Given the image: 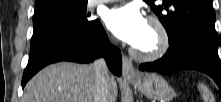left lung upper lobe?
<instances>
[{
	"label": "left lung upper lobe",
	"instance_id": "1",
	"mask_svg": "<svg viewBox=\"0 0 221 102\" xmlns=\"http://www.w3.org/2000/svg\"><path fill=\"white\" fill-rule=\"evenodd\" d=\"M151 8L165 27L169 42L193 33L217 45L212 0H163L161 6L151 4Z\"/></svg>",
	"mask_w": 221,
	"mask_h": 102
}]
</instances>
